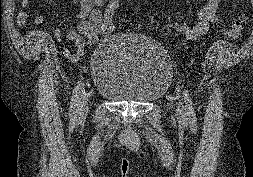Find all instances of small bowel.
<instances>
[{
  "mask_svg": "<svg viewBox=\"0 0 253 177\" xmlns=\"http://www.w3.org/2000/svg\"><path fill=\"white\" fill-rule=\"evenodd\" d=\"M47 4L55 7L54 0H44ZM107 0H72L74 5L79 7L78 21L75 28L66 32V38L72 41L76 50L66 49L64 54L71 61H78L82 58L87 46L94 45L101 36L103 23V8ZM222 0H208L207 4L200 10L197 23L190 25L182 23L178 17L175 18V30L183 34L188 40H196L205 35L210 26L218 20ZM22 10L18 14V23L25 25L30 6L29 0H21ZM57 38L62 34L58 29L53 30Z\"/></svg>",
  "mask_w": 253,
  "mask_h": 177,
  "instance_id": "c3829d8e",
  "label": "small bowel"
}]
</instances>
